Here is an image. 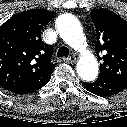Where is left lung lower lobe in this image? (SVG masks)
Segmentation results:
<instances>
[{"instance_id":"obj_1","label":"left lung lower lobe","mask_w":127,"mask_h":127,"mask_svg":"<svg viewBox=\"0 0 127 127\" xmlns=\"http://www.w3.org/2000/svg\"><path fill=\"white\" fill-rule=\"evenodd\" d=\"M83 85L91 93L101 97L114 95L126 87L115 80L103 76H98L97 80L93 83H83Z\"/></svg>"}]
</instances>
